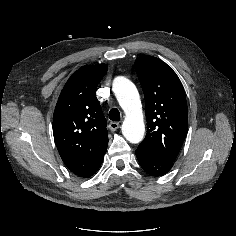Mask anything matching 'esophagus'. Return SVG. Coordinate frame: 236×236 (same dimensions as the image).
Segmentation results:
<instances>
[{"label": "esophagus", "mask_w": 236, "mask_h": 236, "mask_svg": "<svg viewBox=\"0 0 236 236\" xmlns=\"http://www.w3.org/2000/svg\"><path fill=\"white\" fill-rule=\"evenodd\" d=\"M120 124L119 122H110L109 128L111 131H115L119 128Z\"/></svg>", "instance_id": "34e87169"}]
</instances>
